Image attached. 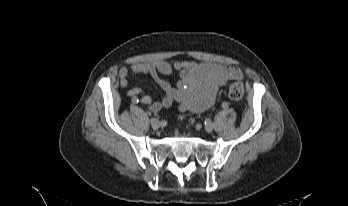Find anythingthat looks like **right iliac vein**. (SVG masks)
I'll list each match as a JSON object with an SVG mask.
<instances>
[{
  "label": "right iliac vein",
  "mask_w": 348,
  "mask_h": 206,
  "mask_svg": "<svg viewBox=\"0 0 348 206\" xmlns=\"http://www.w3.org/2000/svg\"><path fill=\"white\" fill-rule=\"evenodd\" d=\"M150 123L153 129H158L161 126L160 121L156 118H152Z\"/></svg>",
  "instance_id": "obj_1"
}]
</instances>
